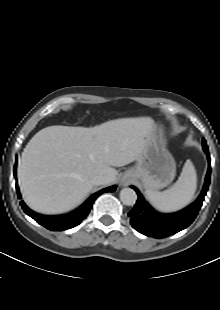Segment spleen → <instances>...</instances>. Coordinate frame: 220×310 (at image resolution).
Wrapping results in <instances>:
<instances>
[{"label":"spleen","instance_id":"spleen-1","mask_svg":"<svg viewBox=\"0 0 220 310\" xmlns=\"http://www.w3.org/2000/svg\"><path fill=\"white\" fill-rule=\"evenodd\" d=\"M197 187L195 168L190 160L183 166L176 183L163 192L147 190L149 202L161 212H173L182 209L192 200Z\"/></svg>","mask_w":220,"mask_h":310}]
</instances>
